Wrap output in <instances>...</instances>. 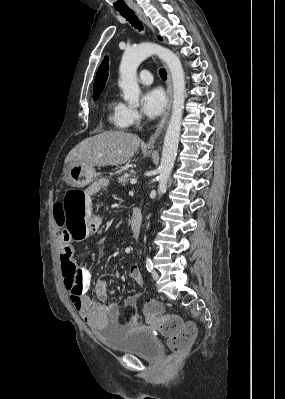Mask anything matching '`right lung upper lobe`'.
Wrapping results in <instances>:
<instances>
[{
	"label": "right lung upper lobe",
	"instance_id": "right-lung-upper-lobe-1",
	"mask_svg": "<svg viewBox=\"0 0 285 399\" xmlns=\"http://www.w3.org/2000/svg\"><path fill=\"white\" fill-rule=\"evenodd\" d=\"M108 57H105L101 65L99 66L96 78L94 81V93L93 95L100 94L104 89L106 80L108 78Z\"/></svg>",
	"mask_w": 285,
	"mask_h": 399
}]
</instances>
